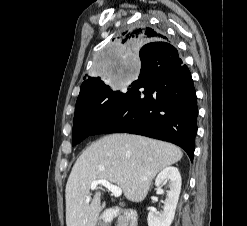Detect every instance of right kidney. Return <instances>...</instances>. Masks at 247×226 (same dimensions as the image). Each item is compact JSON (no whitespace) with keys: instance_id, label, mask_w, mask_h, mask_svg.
Segmentation results:
<instances>
[{"instance_id":"right-kidney-1","label":"right kidney","mask_w":247,"mask_h":226,"mask_svg":"<svg viewBox=\"0 0 247 226\" xmlns=\"http://www.w3.org/2000/svg\"><path fill=\"white\" fill-rule=\"evenodd\" d=\"M164 181H169L170 190L164 201L163 211L151 209L148 214V226H170L174 216L181 191V176L178 168L166 167L156 177L155 185L159 187Z\"/></svg>"}]
</instances>
